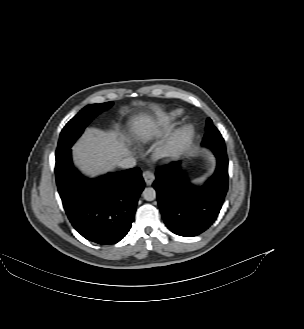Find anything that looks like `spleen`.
<instances>
[{
  "label": "spleen",
  "mask_w": 304,
  "mask_h": 329,
  "mask_svg": "<svg viewBox=\"0 0 304 329\" xmlns=\"http://www.w3.org/2000/svg\"><path fill=\"white\" fill-rule=\"evenodd\" d=\"M204 180V177L203 178H200L198 180H196L197 182H202Z\"/></svg>",
  "instance_id": "spleen-1"
}]
</instances>
